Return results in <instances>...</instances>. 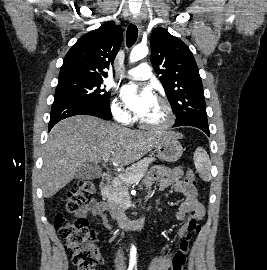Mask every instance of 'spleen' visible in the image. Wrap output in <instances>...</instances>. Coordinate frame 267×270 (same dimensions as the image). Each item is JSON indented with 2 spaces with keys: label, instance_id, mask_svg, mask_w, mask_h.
I'll return each instance as SVG.
<instances>
[{
  "label": "spleen",
  "instance_id": "1",
  "mask_svg": "<svg viewBox=\"0 0 267 270\" xmlns=\"http://www.w3.org/2000/svg\"><path fill=\"white\" fill-rule=\"evenodd\" d=\"M194 164L197 172L199 173L202 180L208 182L211 180V162L209 155L202 148L199 147L194 153Z\"/></svg>",
  "mask_w": 267,
  "mask_h": 270
}]
</instances>
